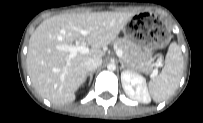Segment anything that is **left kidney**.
<instances>
[{"mask_svg": "<svg viewBox=\"0 0 203 123\" xmlns=\"http://www.w3.org/2000/svg\"><path fill=\"white\" fill-rule=\"evenodd\" d=\"M121 83L129 98L141 103H149L151 101L146 79L142 75L132 70H125L121 73Z\"/></svg>", "mask_w": 203, "mask_h": 123, "instance_id": "obj_1", "label": "left kidney"}]
</instances>
